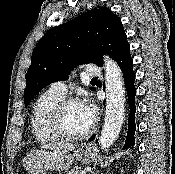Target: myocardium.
<instances>
[{
	"mask_svg": "<svg viewBox=\"0 0 175 174\" xmlns=\"http://www.w3.org/2000/svg\"><path fill=\"white\" fill-rule=\"evenodd\" d=\"M75 103H81L80 99H78L77 97L63 98L51 110V113L49 116V125L52 132L61 140L79 141L87 138L95 129V122L93 121L90 127L86 131L80 134L72 135L65 132L62 126L63 113L69 105L75 104Z\"/></svg>",
	"mask_w": 175,
	"mask_h": 174,
	"instance_id": "myocardium-1",
	"label": "myocardium"
}]
</instances>
